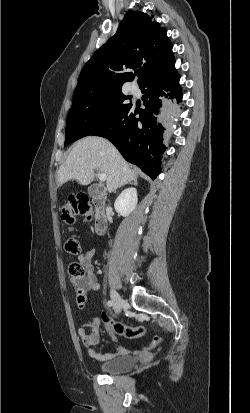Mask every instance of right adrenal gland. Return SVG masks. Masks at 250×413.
Instances as JSON below:
<instances>
[{
	"label": "right adrenal gland",
	"mask_w": 250,
	"mask_h": 413,
	"mask_svg": "<svg viewBox=\"0 0 250 413\" xmlns=\"http://www.w3.org/2000/svg\"><path fill=\"white\" fill-rule=\"evenodd\" d=\"M128 183H126V184H124V185H127ZM129 184H133V185H137V180L135 179V180H133L132 182H129Z\"/></svg>",
	"instance_id": "2a0ac1e0"
}]
</instances>
